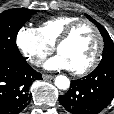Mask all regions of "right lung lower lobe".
<instances>
[{
	"mask_svg": "<svg viewBox=\"0 0 114 114\" xmlns=\"http://www.w3.org/2000/svg\"><path fill=\"white\" fill-rule=\"evenodd\" d=\"M42 79L26 63L19 60L0 59V114H18L31 100L29 87L35 80Z\"/></svg>",
	"mask_w": 114,
	"mask_h": 114,
	"instance_id": "obj_1",
	"label": "right lung lower lobe"
}]
</instances>
